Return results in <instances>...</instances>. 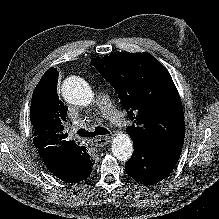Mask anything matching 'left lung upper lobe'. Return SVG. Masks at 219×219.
Wrapping results in <instances>:
<instances>
[{
    "label": "left lung upper lobe",
    "mask_w": 219,
    "mask_h": 219,
    "mask_svg": "<svg viewBox=\"0 0 219 219\" xmlns=\"http://www.w3.org/2000/svg\"><path fill=\"white\" fill-rule=\"evenodd\" d=\"M111 84L134 125L133 141L155 148L182 150L184 115L180 96L167 69L149 53L115 52L91 61Z\"/></svg>",
    "instance_id": "left-lung-upper-lobe-1"
}]
</instances>
